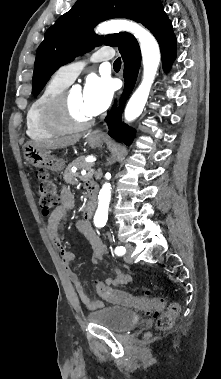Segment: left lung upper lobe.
Returning <instances> with one entry per match:
<instances>
[{"instance_id": "left-lung-upper-lobe-1", "label": "left lung upper lobe", "mask_w": 221, "mask_h": 379, "mask_svg": "<svg viewBox=\"0 0 221 379\" xmlns=\"http://www.w3.org/2000/svg\"><path fill=\"white\" fill-rule=\"evenodd\" d=\"M160 0H77L45 33L37 49L33 74L36 97L50 76L62 65L102 43L119 46L129 33L96 36L93 27L110 18H129L143 24L150 10Z\"/></svg>"}]
</instances>
